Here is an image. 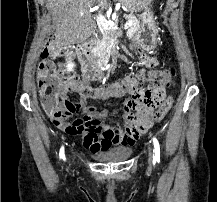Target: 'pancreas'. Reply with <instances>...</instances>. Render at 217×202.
Masks as SVG:
<instances>
[{"instance_id": "1", "label": "pancreas", "mask_w": 217, "mask_h": 202, "mask_svg": "<svg viewBox=\"0 0 217 202\" xmlns=\"http://www.w3.org/2000/svg\"><path fill=\"white\" fill-rule=\"evenodd\" d=\"M130 19L132 20V22H134V24L133 26H129L127 36L128 38H133L134 34H136L138 30H140V26L138 20H136L134 16ZM119 36L120 34L119 32H117V30H109L107 34H103L104 46H102V48H99L100 58H103V60H107V54H110V52H115Z\"/></svg>"}]
</instances>
